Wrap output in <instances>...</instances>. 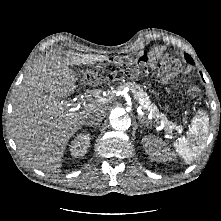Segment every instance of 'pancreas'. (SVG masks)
I'll return each instance as SVG.
<instances>
[{"label": "pancreas", "instance_id": "cf45deb5", "mask_svg": "<svg viewBox=\"0 0 221 221\" xmlns=\"http://www.w3.org/2000/svg\"><path fill=\"white\" fill-rule=\"evenodd\" d=\"M129 88L130 92L133 95V98L142 105L143 109L147 110L149 113H152L154 118L166 121L164 114L160 113L158 108L150 101L148 95L138 84L135 82H128L120 86L118 89Z\"/></svg>", "mask_w": 221, "mask_h": 221}]
</instances>
